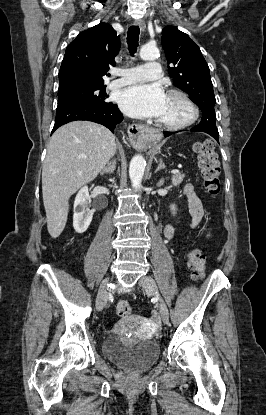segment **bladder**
<instances>
[{"label": "bladder", "mask_w": 266, "mask_h": 415, "mask_svg": "<svg viewBox=\"0 0 266 415\" xmlns=\"http://www.w3.org/2000/svg\"><path fill=\"white\" fill-rule=\"evenodd\" d=\"M102 350L107 358L131 372L147 370L160 355V347L155 340L141 339L128 344L116 334L104 340Z\"/></svg>", "instance_id": "31cf9c89"}]
</instances>
